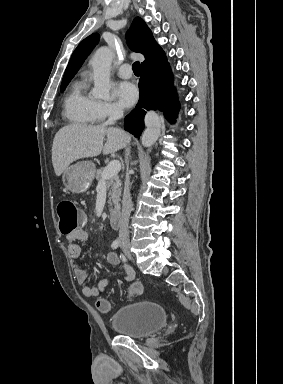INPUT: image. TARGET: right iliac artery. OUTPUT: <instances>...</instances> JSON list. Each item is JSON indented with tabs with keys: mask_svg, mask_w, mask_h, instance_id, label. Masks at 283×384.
Returning <instances> with one entry per match:
<instances>
[{
	"mask_svg": "<svg viewBox=\"0 0 283 384\" xmlns=\"http://www.w3.org/2000/svg\"><path fill=\"white\" fill-rule=\"evenodd\" d=\"M118 245H119V240L116 239V240H114V241L112 242L111 247H112V249H117V248H118Z\"/></svg>",
	"mask_w": 283,
	"mask_h": 384,
	"instance_id": "1",
	"label": "right iliac artery"
}]
</instances>
